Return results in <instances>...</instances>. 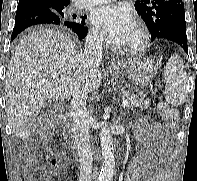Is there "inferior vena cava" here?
I'll return each instance as SVG.
<instances>
[{
    "label": "inferior vena cava",
    "instance_id": "602c4592",
    "mask_svg": "<svg viewBox=\"0 0 197 181\" xmlns=\"http://www.w3.org/2000/svg\"><path fill=\"white\" fill-rule=\"evenodd\" d=\"M103 37L98 32H90L86 36L84 49V67L91 69L102 59ZM88 92L84 87L78 88L71 100L70 117L73 121V131L77 144L80 176L79 181H92V151L89 142L91 119L86 108Z\"/></svg>",
    "mask_w": 197,
    "mask_h": 181
}]
</instances>
